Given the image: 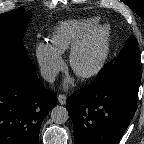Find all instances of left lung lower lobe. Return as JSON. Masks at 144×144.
<instances>
[{"label":"left lung lower lobe","mask_w":144,"mask_h":144,"mask_svg":"<svg viewBox=\"0 0 144 144\" xmlns=\"http://www.w3.org/2000/svg\"><path fill=\"white\" fill-rule=\"evenodd\" d=\"M140 76L107 82L101 75L67 98L75 144H117L130 124L138 99Z\"/></svg>","instance_id":"left-lung-lower-lobe-1"}]
</instances>
